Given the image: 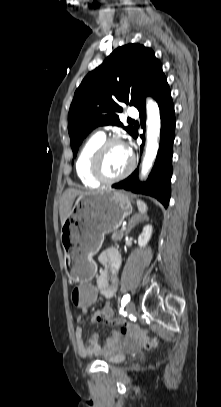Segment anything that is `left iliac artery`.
I'll return each mask as SVG.
<instances>
[{
  "label": "left iliac artery",
  "mask_w": 221,
  "mask_h": 407,
  "mask_svg": "<svg viewBox=\"0 0 221 407\" xmlns=\"http://www.w3.org/2000/svg\"><path fill=\"white\" fill-rule=\"evenodd\" d=\"M130 301V295L126 294L123 296L122 301H121V306L122 308Z\"/></svg>",
  "instance_id": "obj_1"
}]
</instances>
